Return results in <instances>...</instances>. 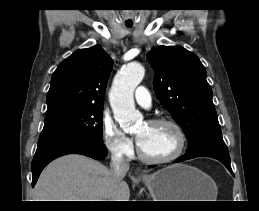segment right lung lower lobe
<instances>
[{"label": "right lung lower lobe", "instance_id": "1", "mask_svg": "<svg viewBox=\"0 0 259 211\" xmlns=\"http://www.w3.org/2000/svg\"><path fill=\"white\" fill-rule=\"evenodd\" d=\"M107 153V148L103 143L81 137L64 136L39 140L31 166L32 186L37 182L44 167L57 157L66 154H82L101 160L107 156Z\"/></svg>", "mask_w": 259, "mask_h": 211}]
</instances>
